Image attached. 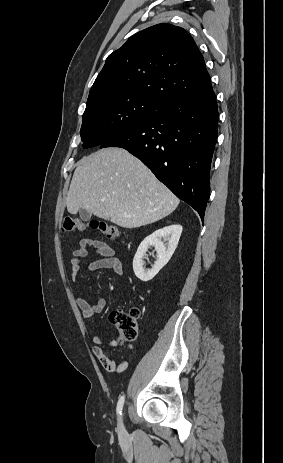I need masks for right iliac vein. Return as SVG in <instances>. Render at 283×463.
<instances>
[{
	"instance_id": "obj_1",
	"label": "right iliac vein",
	"mask_w": 283,
	"mask_h": 463,
	"mask_svg": "<svg viewBox=\"0 0 283 463\" xmlns=\"http://www.w3.org/2000/svg\"><path fill=\"white\" fill-rule=\"evenodd\" d=\"M118 431H119V436L121 438H124L127 432H126V429H125V426H124L122 416H120L119 421H118Z\"/></svg>"
}]
</instances>
